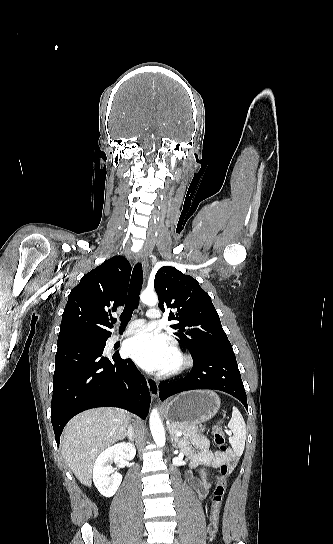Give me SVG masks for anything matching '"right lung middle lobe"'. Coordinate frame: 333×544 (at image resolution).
Returning <instances> with one entry per match:
<instances>
[{"label":"right lung middle lobe","instance_id":"obj_1","mask_svg":"<svg viewBox=\"0 0 333 544\" xmlns=\"http://www.w3.org/2000/svg\"><path fill=\"white\" fill-rule=\"evenodd\" d=\"M100 342H102V343L106 344V341H105V340H101Z\"/></svg>","mask_w":333,"mask_h":544}]
</instances>
